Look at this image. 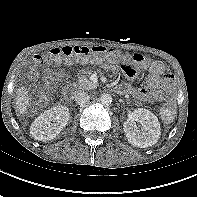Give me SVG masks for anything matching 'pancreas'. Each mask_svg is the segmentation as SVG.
<instances>
[{
  "label": "pancreas",
  "mask_w": 197,
  "mask_h": 197,
  "mask_svg": "<svg viewBox=\"0 0 197 197\" xmlns=\"http://www.w3.org/2000/svg\"><path fill=\"white\" fill-rule=\"evenodd\" d=\"M76 86L78 89L89 90L91 88H94L96 85L93 82H91L89 79H87L86 76L81 75L78 77V81L76 83Z\"/></svg>",
  "instance_id": "pancreas-1"
}]
</instances>
